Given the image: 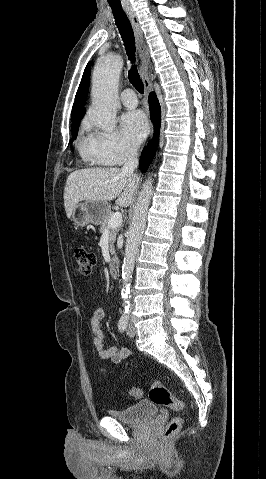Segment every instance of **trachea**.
I'll return each instance as SVG.
<instances>
[{
	"instance_id": "1",
	"label": "trachea",
	"mask_w": 266,
	"mask_h": 479,
	"mask_svg": "<svg viewBox=\"0 0 266 479\" xmlns=\"http://www.w3.org/2000/svg\"><path fill=\"white\" fill-rule=\"evenodd\" d=\"M112 13L114 15L117 28L123 39L128 59L132 64L128 72L129 81L135 87V89L142 94L144 93V85L135 65V38L131 23L122 9L112 8Z\"/></svg>"
}]
</instances>
